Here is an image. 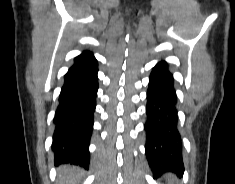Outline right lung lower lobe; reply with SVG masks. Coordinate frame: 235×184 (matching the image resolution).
<instances>
[{
  "label": "right lung lower lobe",
  "instance_id": "1",
  "mask_svg": "<svg viewBox=\"0 0 235 184\" xmlns=\"http://www.w3.org/2000/svg\"><path fill=\"white\" fill-rule=\"evenodd\" d=\"M98 64L90 51L74 59L64 76L54 124L55 164L89 165V143L98 90Z\"/></svg>",
  "mask_w": 235,
  "mask_h": 184
}]
</instances>
